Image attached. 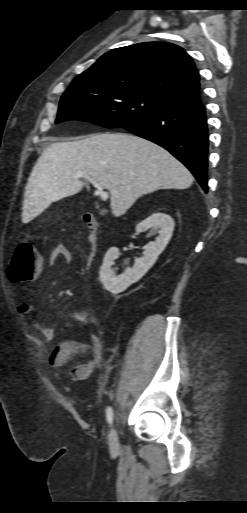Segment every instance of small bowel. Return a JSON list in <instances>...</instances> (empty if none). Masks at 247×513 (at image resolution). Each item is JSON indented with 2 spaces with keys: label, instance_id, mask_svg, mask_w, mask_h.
I'll return each instance as SVG.
<instances>
[{
  "label": "small bowel",
  "instance_id": "c3829d8e",
  "mask_svg": "<svg viewBox=\"0 0 247 513\" xmlns=\"http://www.w3.org/2000/svg\"><path fill=\"white\" fill-rule=\"evenodd\" d=\"M73 261L72 252L65 246L59 245L55 247L50 256V266H55L59 262L71 263ZM18 310L20 314L33 324L35 331L41 336L44 343L49 344L55 339V331L53 328L46 326L40 320L32 315V310L27 301L19 304ZM73 318L84 324L91 323L90 316L85 312H76ZM85 352L89 353V358L79 364L74 365L70 369V375L76 380L88 379L92 373L101 365L104 356V346L101 339L97 335H89L86 341L82 340H65L55 345L48 356V364L53 368H59L67 364L70 360Z\"/></svg>",
  "mask_w": 247,
  "mask_h": 513
}]
</instances>
